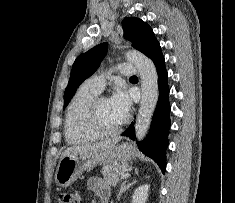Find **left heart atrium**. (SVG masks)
<instances>
[{
	"label": "left heart atrium",
	"mask_w": 235,
	"mask_h": 203,
	"mask_svg": "<svg viewBox=\"0 0 235 203\" xmlns=\"http://www.w3.org/2000/svg\"><path fill=\"white\" fill-rule=\"evenodd\" d=\"M109 101L114 109L125 119L130 109V100L127 93L122 88H118Z\"/></svg>",
	"instance_id": "left-heart-atrium-1"
}]
</instances>
